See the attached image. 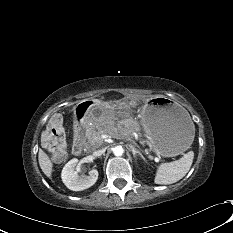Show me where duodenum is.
<instances>
[{"label":"duodenum","instance_id":"duodenum-1","mask_svg":"<svg viewBox=\"0 0 233 233\" xmlns=\"http://www.w3.org/2000/svg\"><path fill=\"white\" fill-rule=\"evenodd\" d=\"M94 103L91 100L79 103L72 110V125L75 127L74 135L75 140L73 143V151L75 154H80L83 150V142L81 139V130L85 125V116L92 112Z\"/></svg>","mask_w":233,"mask_h":233}]
</instances>
